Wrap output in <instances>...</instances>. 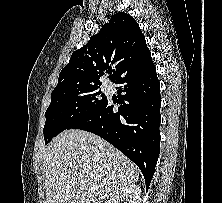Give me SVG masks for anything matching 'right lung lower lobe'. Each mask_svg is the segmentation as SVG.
I'll return each mask as SVG.
<instances>
[{"mask_svg": "<svg viewBox=\"0 0 222 203\" xmlns=\"http://www.w3.org/2000/svg\"><path fill=\"white\" fill-rule=\"evenodd\" d=\"M118 111L106 100L94 112L68 129L94 133L132 160L142 171L148 189L159 156L160 83L152 59L114 81Z\"/></svg>", "mask_w": 222, "mask_h": 203, "instance_id": "obj_1", "label": "right lung lower lobe"}]
</instances>
